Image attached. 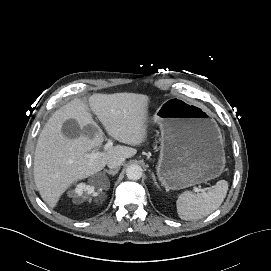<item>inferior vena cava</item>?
<instances>
[{"label": "inferior vena cava", "mask_w": 271, "mask_h": 271, "mask_svg": "<svg viewBox=\"0 0 271 271\" xmlns=\"http://www.w3.org/2000/svg\"><path fill=\"white\" fill-rule=\"evenodd\" d=\"M124 161L125 158L123 157H114L108 161L107 165L110 169H117L123 164Z\"/></svg>", "instance_id": "obj_1"}]
</instances>
